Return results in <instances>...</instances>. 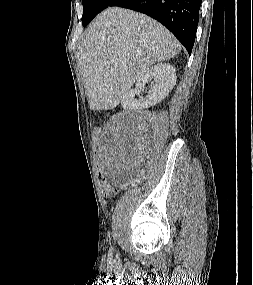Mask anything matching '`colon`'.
<instances>
[{
    "instance_id": "5ec220e1",
    "label": "colon",
    "mask_w": 253,
    "mask_h": 285,
    "mask_svg": "<svg viewBox=\"0 0 253 285\" xmlns=\"http://www.w3.org/2000/svg\"><path fill=\"white\" fill-rule=\"evenodd\" d=\"M94 141L95 150L92 151V158H94L95 167L93 171L95 172V176H98V180L102 182V189L106 197H111L114 195L115 190L112 186V177L108 175V171H104L105 167V159L103 151L106 150V144L103 143L104 133L102 129H99L98 126L94 127Z\"/></svg>"
}]
</instances>
